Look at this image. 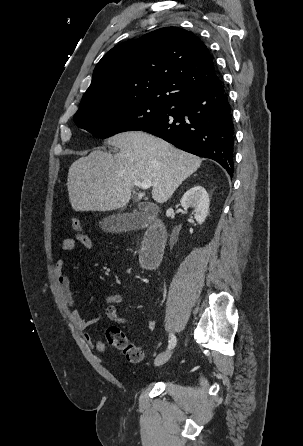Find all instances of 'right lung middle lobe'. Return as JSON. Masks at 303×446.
<instances>
[{
	"instance_id": "1",
	"label": "right lung middle lobe",
	"mask_w": 303,
	"mask_h": 446,
	"mask_svg": "<svg viewBox=\"0 0 303 446\" xmlns=\"http://www.w3.org/2000/svg\"><path fill=\"white\" fill-rule=\"evenodd\" d=\"M172 106L131 101L99 106L74 115L76 125L99 138L130 130H142L165 115Z\"/></svg>"
}]
</instances>
